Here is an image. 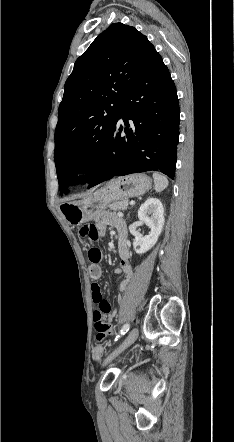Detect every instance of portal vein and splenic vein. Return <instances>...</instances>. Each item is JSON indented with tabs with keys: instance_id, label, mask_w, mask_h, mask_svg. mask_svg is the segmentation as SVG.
Masks as SVG:
<instances>
[{
	"instance_id": "1",
	"label": "portal vein and splenic vein",
	"mask_w": 234,
	"mask_h": 442,
	"mask_svg": "<svg viewBox=\"0 0 234 442\" xmlns=\"http://www.w3.org/2000/svg\"><path fill=\"white\" fill-rule=\"evenodd\" d=\"M135 204V202H130V205H134Z\"/></svg>"
}]
</instances>
